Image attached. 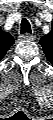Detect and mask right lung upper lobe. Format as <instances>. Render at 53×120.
Instances as JSON below:
<instances>
[{"label":"right lung upper lobe","instance_id":"right-lung-upper-lobe-1","mask_svg":"<svg viewBox=\"0 0 53 120\" xmlns=\"http://www.w3.org/2000/svg\"><path fill=\"white\" fill-rule=\"evenodd\" d=\"M14 42L10 33L0 30V59L4 57L9 47L12 46Z\"/></svg>","mask_w":53,"mask_h":120}]
</instances>
